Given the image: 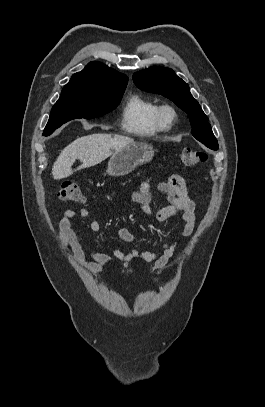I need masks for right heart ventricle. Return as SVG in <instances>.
<instances>
[{"mask_svg":"<svg viewBox=\"0 0 265 407\" xmlns=\"http://www.w3.org/2000/svg\"><path fill=\"white\" fill-rule=\"evenodd\" d=\"M158 105L140 94L130 95L122 110V127L130 135L151 137L159 134L156 114Z\"/></svg>","mask_w":265,"mask_h":407,"instance_id":"obj_1","label":"right heart ventricle"}]
</instances>
